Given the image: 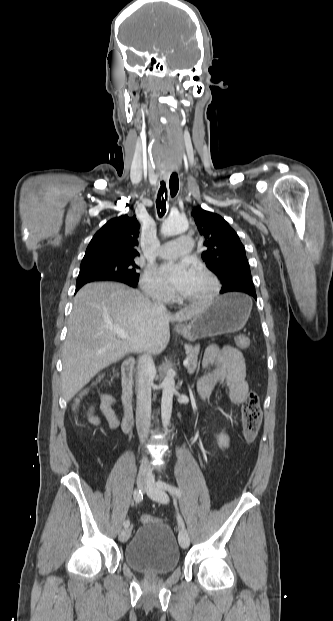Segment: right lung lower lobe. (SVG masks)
<instances>
[{"label":"right lung lower lobe","mask_w":333,"mask_h":621,"mask_svg":"<svg viewBox=\"0 0 333 621\" xmlns=\"http://www.w3.org/2000/svg\"><path fill=\"white\" fill-rule=\"evenodd\" d=\"M92 281H98V280H96V279H91V278H82V279H77V285H76V291H75V293H76V292H77V291H78V290H79V289H80V288H81L84 284H86V283H88V282H92ZM114 281H118V280H114ZM119 282H123V283H125V284H127V285H129V286H132V287H136V285H137V284L127 283V282H124V281H119Z\"/></svg>","instance_id":"obj_1"}]
</instances>
